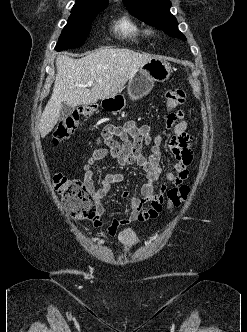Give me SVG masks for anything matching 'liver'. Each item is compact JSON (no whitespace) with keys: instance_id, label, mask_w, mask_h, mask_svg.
Masks as SVG:
<instances>
[{"instance_id":"1","label":"liver","mask_w":247,"mask_h":332,"mask_svg":"<svg viewBox=\"0 0 247 332\" xmlns=\"http://www.w3.org/2000/svg\"><path fill=\"white\" fill-rule=\"evenodd\" d=\"M153 58L157 57L110 47L80 59L58 55L53 92L39 124L41 137L49 134L57 124L63 103L76 107L114 97L135 72ZM89 81H94L91 89L85 87Z\"/></svg>"}]
</instances>
